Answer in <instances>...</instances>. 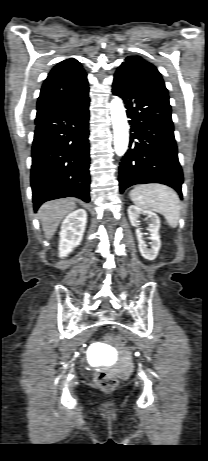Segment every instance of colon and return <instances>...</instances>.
<instances>
[{
  "instance_id": "5ec220e1",
  "label": "colon",
  "mask_w": 208,
  "mask_h": 461,
  "mask_svg": "<svg viewBox=\"0 0 208 461\" xmlns=\"http://www.w3.org/2000/svg\"><path fill=\"white\" fill-rule=\"evenodd\" d=\"M106 340L118 347H124L127 343L126 339L121 335L107 334ZM94 381L96 386L103 390L112 389L117 385L116 375L107 369L98 370L95 374Z\"/></svg>"
}]
</instances>
